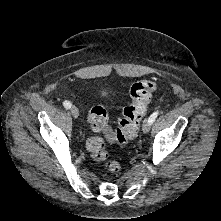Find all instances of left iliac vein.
<instances>
[{
  "label": "left iliac vein",
  "mask_w": 221,
  "mask_h": 221,
  "mask_svg": "<svg viewBox=\"0 0 221 221\" xmlns=\"http://www.w3.org/2000/svg\"><path fill=\"white\" fill-rule=\"evenodd\" d=\"M150 126H151V123L149 122V119H146V120L143 122L142 131H143L144 133H148L149 130H150Z\"/></svg>",
  "instance_id": "obj_1"
}]
</instances>
